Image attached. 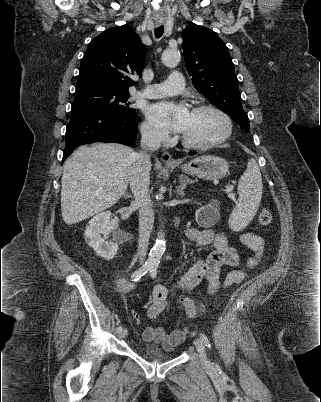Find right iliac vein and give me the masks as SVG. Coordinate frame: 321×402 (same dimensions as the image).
<instances>
[{
	"label": "right iliac vein",
	"mask_w": 321,
	"mask_h": 402,
	"mask_svg": "<svg viewBox=\"0 0 321 402\" xmlns=\"http://www.w3.org/2000/svg\"><path fill=\"white\" fill-rule=\"evenodd\" d=\"M127 329H122L120 332H119V338H121V339H123V338H125L126 336H127Z\"/></svg>",
	"instance_id": "1"
}]
</instances>
